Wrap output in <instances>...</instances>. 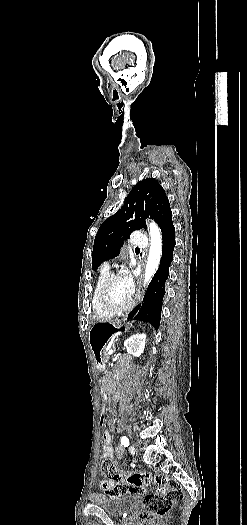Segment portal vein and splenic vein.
<instances>
[{
	"label": "portal vein and splenic vein",
	"instance_id": "portal-vein-and-splenic-vein-1",
	"mask_svg": "<svg viewBox=\"0 0 247 525\" xmlns=\"http://www.w3.org/2000/svg\"><path fill=\"white\" fill-rule=\"evenodd\" d=\"M111 353H114V350H109L108 356H111Z\"/></svg>",
	"mask_w": 247,
	"mask_h": 525
}]
</instances>
